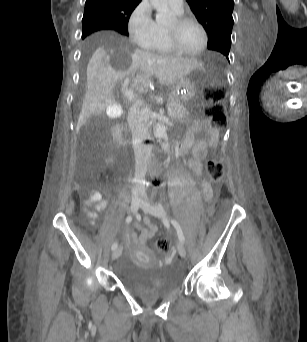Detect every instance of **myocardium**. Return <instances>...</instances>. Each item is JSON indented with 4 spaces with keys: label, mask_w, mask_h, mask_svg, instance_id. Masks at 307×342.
Segmentation results:
<instances>
[{
    "label": "myocardium",
    "mask_w": 307,
    "mask_h": 342,
    "mask_svg": "<svg viewBox=\"0 0 307 342\" xmlns=\"http://www.w3.org/2000/svg\"><path fill=\"white\" fill-rule=\"evenodd\" d=\"M187 22L197 23L203 31V35H204L203 45L196 52H187L183 50L175 40L174 31ZM173 26H174V30L164 31V35H163L164 44L166 45V47L171 53L179 55V56L189 57V58H197V57L202 56L205 53V51L208 49L209 43H210L208 27L205 24V22L199 17H197L196 15L186 14V15L177 16L173 20Z\"/></svg>",
    "instance_id": "1"
}]
</instances>
